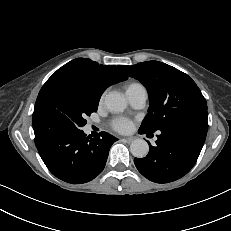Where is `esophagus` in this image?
I'll use <instances>...</instances> for the list:
<instances>
[{"label": "esophagus", "instance_id": "34e87169", "mask_svg": "<svg viewBox=\"0 0 231 231\" xmlns=\"http://www.w3.org/2000/svg\"><path fill=\"white\" fill-rule=\"evenodd\" d=\"M135 139H136L135 136H130V137L124 138L123 140H125L128 143H130V142L134 141Z\"/></svg>", "mask_w": 231, "mask_h": 231}]
</instances>
